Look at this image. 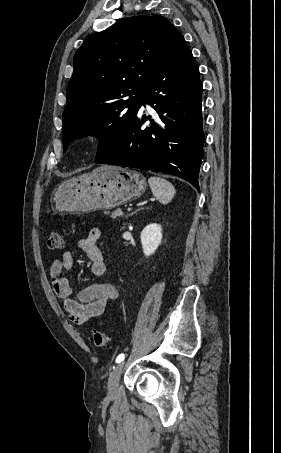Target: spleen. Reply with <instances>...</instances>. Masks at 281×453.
Listing matches in <instances>:
<instances>
[{
    "label": "spleen",
    "instance_id": "3e777b00",
    "mask_svg": "<svg viewBox=\"0 0 281 453\" xmlns=\"http://www.w3.org/2000/svg\"><path fill=\"white\" fill-rule=\"evenodd\" d=\"M148 182L154 196L159 198L162 204H168L172 200L176 190L171 182H168L165 178H158V176H150Z\"/></svg>",
    "mask_w": 281,
    "mask_h": 453
}]
</instances>
